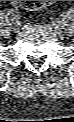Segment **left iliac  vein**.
<instances>
[{
	"label": "left iliac vein",
	"mask_w": 74,
	"mask_h": 122,
	"mask_svg": "<svg viewBox=\"0 0 74 122\" xmlns=\"http://www.w3.org/2000/svg\"><path fill=\"white\" fill-rule=\"evenodd\" d=\"M58 23H59V21L57 22V24L48 25V27L51 29V31L55 34L61 33V27L59 26Z\"/></svg>",
	"instance_id": "1"
}]
</instances>
